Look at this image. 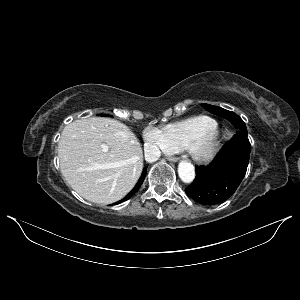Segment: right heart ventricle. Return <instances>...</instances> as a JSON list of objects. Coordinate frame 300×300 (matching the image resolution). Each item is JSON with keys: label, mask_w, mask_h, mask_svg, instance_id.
Here are the masks:
<instances>
[{"label": "right heart ventricle", "mask_w": 300, "mask_h": 300, "mask_svg": "<svg viewBox=\"0 0 300 300\" xmlns=\"http://www.w3.org/2000/svg\"><path fill=\"white\" fill-rule=\"evenodd\" d=\"M217 127V122L205 115L190 117L167 124L162 131L172 152L186 151L202 134Z\"/></svg>", "instance_id": "obj_1"}]
</instances>
